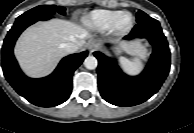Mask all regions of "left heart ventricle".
Instances as JSON below:
<instances>
[{"instance_id": "obj_1", "label": "left heart ventricle", "mask_w": 194, "mask_h": 133, "mask_svg": "<svg viewBox=\"0 0 194 133\" xmlns=\"http://www.w3.org/2000/svg\"><path fill=\"white\" fill-rule=\"evenodd\" d=\"M131 22V17L128 14H124L119 20L120 28H126Z\"/></svg>"}]
</instances>
